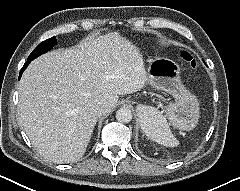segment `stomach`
<instances>
[{
    "instance_id": "1",
    "label": "stomach",
    "mask_w": 240,
    "mask_h": 191,
    "mask_svg": "<svg viewBox=\"0 0 240 191\" xmlns=\"http://www.w3.org/2000/svg\"><path fill=\"white\" fill-rule=\"evenodd\" d=\"M147 82L154 88L171 94L175 101L167 107V115L173 125L182 130H192L196 127L200 108L197 97L192 94L180 79V68L168 58L152 59L146 71ZM148 108L142 107L140 115Z\"/></svg>"
}]
</instances>
